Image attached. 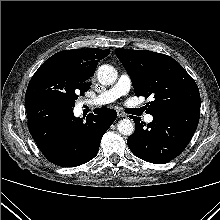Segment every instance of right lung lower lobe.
Here are the masks:
<instances>
[{"label":"right lung lower lobe","instance_id":"1","mask_svg":"<svg viewBox=\"0 0 220 220\" xmlns=\"http://www.w3.org/2000/svg\"><path fill=\"white\" fill-rule=\"evenodd\" d=\"M29 131L43 155L62 167H75L93 159L102 136L117 117L109 108H98L86 122L73 115V107L49 98L25 99Z\"/></svg>","mask_w":220,"mask_h":220}]
</instances>
